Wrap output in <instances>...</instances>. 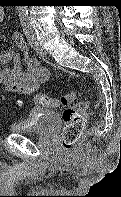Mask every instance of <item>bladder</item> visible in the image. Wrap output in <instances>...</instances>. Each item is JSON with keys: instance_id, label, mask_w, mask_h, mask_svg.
<instances>
[{"instance_id": "bladder-1", "label": "bladder", "mask_w": 121, "mask_h": 197, "mask_svg": "<svg viewBox=\"0 0 121 197\" xmlns=\"http://www.w3.org/2000/svg\"><path fill=\"white\" fill-rule=\"evenodd\" d=\"M55 114L48 109H40L26 118L11 123L9 130L15 134H43L54 124Z\"/></svg>"}]
</instances>
